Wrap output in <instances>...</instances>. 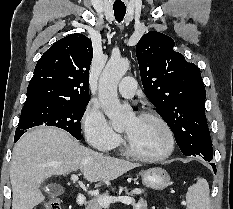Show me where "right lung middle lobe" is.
Returning a JSON list of instances; mask_svg holds the SVG:
<instances>
[{"mask_svg":"<svg viewBox=\"0 0 233 209\" xmlns=\"http://www.w3.org/2000/svg\"><path fill=\"white\" fill-rule=\"evenodd\" d=\"M88 101L73 103H34L24 105L15 135H23L34 126H55L81 139L80 121Z\"/></svg>","mask_w":233,"mask_h":209,"instance_id":"dd1d6c3e","label":"right lung middle lobe"}]
</instances>
